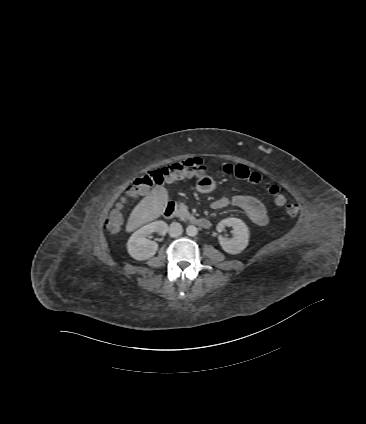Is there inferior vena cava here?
<instances>
[{
  "label": "inferior vena cava",
  "instance_id": "1",
  "mask_svg": "<svg viewBox=\"0 0 366 424\" xmlns=\"http://www.w3.org/2000/svg\"><path fill=\"white\" fill-rule=\"evenodd\" d=\"M183 233V228L180 223L173 222L169 227V234L171 237H178Z\"/></svg>",
  "mask_w": 366,
  "mask_h": 424
}]
</instances>
